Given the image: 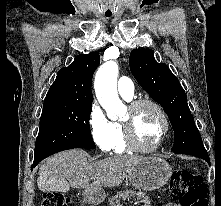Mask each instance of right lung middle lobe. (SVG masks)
<instances>
[{"instance_id":"1","label":"right lung middle lobe","mask_w":221,"mask_h":206,"mask_svg":"<svg viewBox=\"0 0 221 206\" xmlns=\"http://www.w3.org/2000/svg\"><path fill=\"white\" fill-rule=\"evenodd\" d=\"M92 105L43 109L34 159L73 148H95L89 118Z\"/></svg>"}]
</instances>
